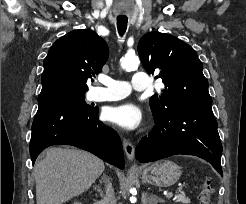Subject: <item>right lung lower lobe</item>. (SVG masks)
<instances>
[{"label":"right lung lower lobe","mask_w":246,"mask_h":204,"mask_svg":"<svg viewBox=\"0 0 246 204\" xmlns=\"http://www.w3.org/2000/svg\"><path fill=\"white\" fill-rule=\"evenodd\" d=\"M52 145L76 146L120 169L125 166L117 133L98 120L97 107L85 108L77 99L39 102L30 141L32 163L43 149Z\"/></svg>","instance_id":"right-lung-lower-lobe-1"}]
</instances>
